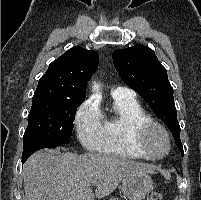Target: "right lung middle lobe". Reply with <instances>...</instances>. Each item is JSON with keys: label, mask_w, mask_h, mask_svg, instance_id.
I'll return each mask as SVG.
<instances>
[{"label": "right lung middle lobe", "mask_w": 201, "mask_h": 200, "mask_svg": "<svg viewBox=\"0 0 201 200\" xmlns=\"http://www.w3.org/2000/svg\"><path fill=\"white\" fill-rule=\"evenodd\" d=\"M83 101L34 94L23 139L41 136L69 140L76 110Z\"/></svg>", "instance_id": "dd1d6c3e"}]
</instances>
